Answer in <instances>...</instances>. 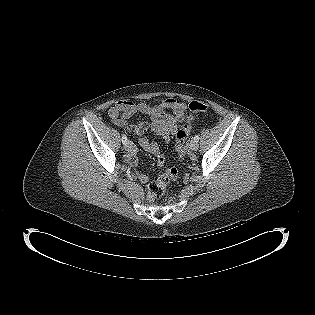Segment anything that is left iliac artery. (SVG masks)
I'll use <instances>...</instances> for the list:
<instances>
[{
    "label": "left iliac artery",
    "instance_id": "obj_1",
    "mask_svg": "<svg viewBox=\"0 0 315 315\" xmlns=\"http://www.w3.org/2000/svg\"><path fill=\"white\" fill-rule=\"evenodd\" d=\"M199 139H200L199 135H196V136L194 137V141H196V142H198Z\"/></svg>",
    "mask_w": 315,
    "mask_h": 315
}]
</instances>
